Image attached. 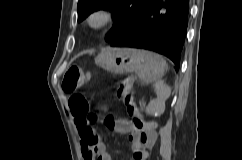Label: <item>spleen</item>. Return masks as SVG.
<instances>
[{
    "instance_id": "spleen-1",
    "label": "spleen",
    "mask_w": 242,
    "mask_h": 160,
    "mask_svg": "<svg viewBox=\"0 0 242 160\" xmlns=\"http://www.w3.org/2000/svg\"><path fill=\"white\" fill-rule=\"evenodd\" d=\"M165 67V60L160 55L154 54V60L153 64L151 65V68L155 73L153 81H155V88L158 94H160V89L164 87L163 82L160 80V78L164 73ZM147 111L150 112L149 108H147Z\"/></svg>"
}]
</instances>
